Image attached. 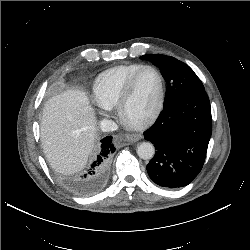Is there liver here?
I'll use <instances>...</instances> for the list:
<instances>
[{
    "instance_id": "6515ba94",
    "label": "liver",
    "mask_w": 250,
    "mask_h": 250,
    "mask_svg": "<svg viewBox=\"0 0 250 250\" xmlns=\"http://www.w3.org/2000/svg\"><path fill=\"white\" fill-rule=\"evenodd\" d=\"M96 119L86 93L69 89L50 98L41 120V142L51 167L72 174L85 167L96 138Z\"/></svg>"
}]
</instances>
